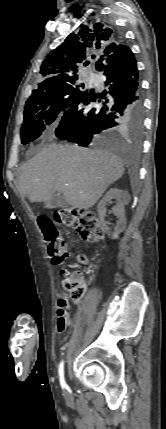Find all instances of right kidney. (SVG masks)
I'll list each match as a JSON object with an SVG mask.
<instances>
[{
	"instance_id": "right-kidney-1",
	"label": "right kidney",
	"mask_w": 166,
	"mask_h": 429,
	"mask_svg": "<svg viewBox=\"0 0 166 429\" xmlns=\"http://www.w3.org/2000/svg\"><path fill=\"white\" fill-rule=\"evenodd\" d=\"M112 199L116 200V205L112 208V213L118 218L117 224L114 231L111 233L112 239H117L119 234L126 227V217L124 211V205L128 204L130 201V195L125 190H120L118 188H110V190L105 194V196L100 200L97 206V211L99 215L100 222L102 226L108 230L104 218L106 216V205L111 202Z\"/></svg>"
}]
</instances>
